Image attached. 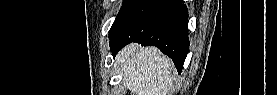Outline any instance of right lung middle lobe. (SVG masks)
Returning a JSON list of instances; mask_svg holds the SVG:
<instances>
[{"label":"right lung middle lobe","mask_w":277,"mask_h":95,"mask_svg":"<svg viewBox=\"0 0 277 95\" xmlns=\"http://www.w3.org/2000/svg\"><path fill=\"white\" fill-rule=\"evenodd\" d=\"M147 0H124L123 5L110 29L109 36Z\"/></svg>","instance_id":"right-lung-middle-lobe-1"}]
</instances>
